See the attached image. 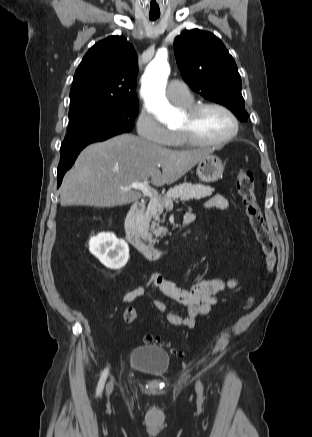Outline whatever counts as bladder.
<instances>
[{
    "label": "bladder",
    "instance_id": "1",
    "mask_svg": "<svg viewBox=\"0 0 312 437\" xmlns=\"http://www.w3.org/2000/svg\"><path fill=\"white\" fill-rule=\"evenodd\" d=\"M130 364L133 368L140 370L153 377L164 376L170 365L168 352L157 346H138L130 355Z\"/></svg>",
    "mask_w": 312,
    "mask_h": 437
}]
</instances>
